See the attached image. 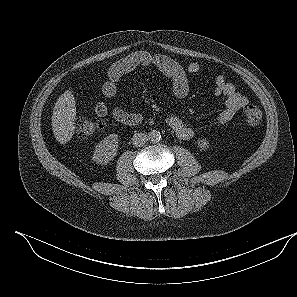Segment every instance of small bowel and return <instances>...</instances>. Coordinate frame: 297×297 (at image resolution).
Returning <instances> with one entry per match:
<instances>
[{
	"label": "small bowel",
	"instance_id": "obj_1",
	"mask_svg": "<svg viewBox=\"0 0 297 297\" xmlns=\"http://www.w3.org/2000/svg\"><path fill=\"white\" fill-rule=\"evenodd\" d=\"M143 67H153L159 70L172 81L173 94L177 98H183L188 94V76L196 74L201 70L198 62H191L184 66L180 62L158 53L149 51H136L118 60L108 70V78L103 83L102 92L107 98L117 93V83L125 74ZM216 96L224 98V109L217 115L216 124L228 123L235 114L248 103V99L237 91L235 86L226 81L225 77L219 75L214 80ZM109 108L104 102L95 106L98 116L107 114ZM112 116L126 125H136L143 120V116L137 113H128L121 108L113 107ZM167 125L174 131L176 136L182 140H191L195 136L194 130L186 125L177 114H170L166 119Z\"/></svg>",
	"mask_w": 297,
	"mask_h": 297
}]
</instances>
